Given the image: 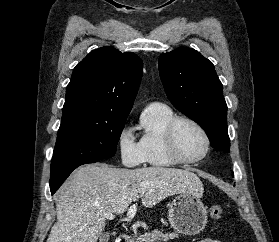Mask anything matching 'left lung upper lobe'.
Here are the masks:
<instances>
[{"mask_svg":"<svg viewBox=\"0 0 279 242\" xmlns=\"http://www.w3.org/2000/svg\"><path fill=\"white\" fill-rule=\"evenodd\" d=\"M158 64L174 107L205 130L213 148L230 152L227 105L212 62L185 47L161 54Z\"/></svg>","mask_w":279,"mask_h":242,"instance_id":"5c2ea615","label":"left lung upper lobe"}]
</instances>
